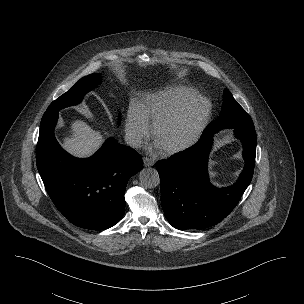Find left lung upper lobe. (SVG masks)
I'll list each match as a JSON object with an SVG mask.
<instances>
[{
    "label": "left lung upper lobe",
    "mask_w": 304,
    "mask_h": 304,
    "mask_svg": "<svg viewBox=\"0 0 304 304\" xmlns=\"http://www.w3.org/2000/svg\"><path fill=\"white\" fill-rule=\"evenodd\" d=\"M229 127L254 128V124L249 114L237 103L229 90L225 89L221 114L206 131H218Z\"/></svg>",
    "instance_id": "obj_1"
}]
</instances>
